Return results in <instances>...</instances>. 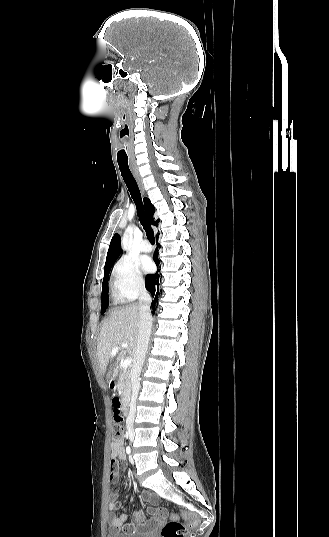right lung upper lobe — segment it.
I'll use <instances>...</instances> for the list:
<instances>
[{"instance_id": "1", "label": "right lung upper lobe", "mask_w": 329, "mask_h": 537, "mask_svg": "<svg viewBox=\"0 0 329 537\" xmlns=\"http://www.w3.org/2000/svg\"><path fill=\"white\" fill-rule=\"evenodd\" d=\"M144 204H145L146 212H147V215H148V218H149V223H151L152 225L157 226L159 220L155 221L153 219V215H154V212H155V207L151 204V202H150V200L148 198H144ZM120 242H121V239H120L119 234H115L112 237V240H111L108 252H107V258H106V263H105L104 270L106 268H108L109 266L113 265L114 262L119 257V255L121 253Z\"/></svg>"}]
</instances>
